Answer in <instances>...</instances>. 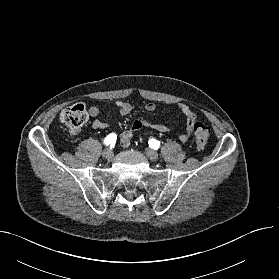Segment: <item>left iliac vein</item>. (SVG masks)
<instances>
[{"label":"left iliac vein","mask_w":279,"mask_h":279,"mask_svg":"<svg viewBox=\"0 0 279 279\" xmlns=\"http://www.w3.org/2000/svg\"><path fill=\"white\" fill-rule=\"evenodd\" d=\"M146 156L151 160V161H156L159 157L158 153L154 150L151 149H146L145 151Z\"/></svg>","instance_id":"left-iliac-vein-1"}]
</instances>
